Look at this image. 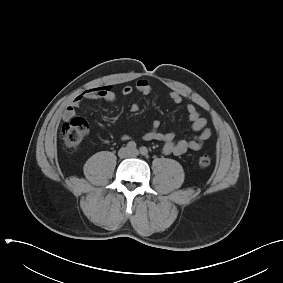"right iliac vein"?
<instances>
[{"instance_id":"1","label":"right iliac vein","mask_w":283,"mask_h":283,"mask_svg":"<svg viewBox=\"0 0 283 283\" xmlns=\"http://www.w3.org/2000/svg\"><path fill=\"white\" fill-rule=\"evenodd\" d=\"M120 157H127L130 154V150L127 147H123L118 152Z\"/></svg>"}]
</instances>
